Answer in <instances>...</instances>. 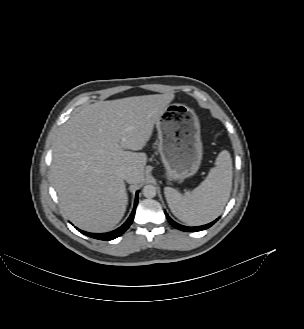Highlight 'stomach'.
Returning <instances> with one entry per match:
<instances>
[{
	"label": "stomach",
	"mask_w": 304,
	"mask_h": 329,
	"mask_svg": "<svg viewBox=\"0 0 304 329\" xmlns=\"http://www.w3.org/2000/svg\"><path fill=\"white\" fill-rule=\"evenodd\" d=\"M156 127L166 178L176 181L193 176L203 155L200 122L194 110L184 104H169Z\"/></svg>",
	"instance_id": "stomach-1"
}]
</instances>
